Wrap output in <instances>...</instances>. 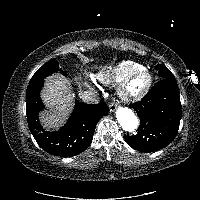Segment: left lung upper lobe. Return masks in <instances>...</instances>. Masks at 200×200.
<instances>
[{
    "mask_svg": "<svg viewBox=\"0 0 200 200\" xmlns=\"http://www.w3.org/2000/svg\"><path fill=\"white\" fill-rule=\"evenodd\" d=\"M156 69L158 70V74L162 79H175L174 75L167 67L163 65H157Z\"/></svg>",
    "mask_w": 200,
    "mask_h": 200,
    "instance_id": "1",
    "label": "left lung upper lobe"
}]
</instances>
